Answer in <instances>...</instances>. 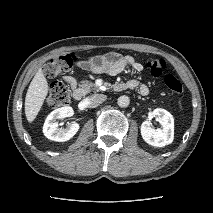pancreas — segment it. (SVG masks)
Listing matches in <instances>:
<instances>
[{
  "label": "pancreas",
  "mask_w": 213,
  "mask_h": 213,
  "mask_svg": "<svg viewBox=\"0 0 213 213\" xmlns=\"http://www.w3.org/2000/svg\"><path fill=\"white\" fill-rule=\"evenodd\" d=\"M81 88L84 90V93H89L91 91H97L95 84L89 81H82L81 82Z\"/></svg>",
  "instance_id": "obj_1"
}]
</instances>
